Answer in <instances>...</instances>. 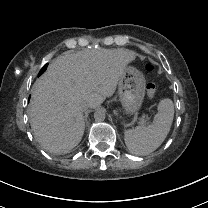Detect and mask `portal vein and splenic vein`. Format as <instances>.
I'll use <instances>...</instances> for the list:
<instances>
[{
	"label": "portal vein and splenic vein",
	"mask_w": 208,
	"mask_h": 208,
	"mask_svg": "<svg viewBox=\"0 0 208 208\" xmlns=\"http://www.w3.org/2000/svg\"><path fill=\"white\" fill-rule=\"evenodd\" d=\"M140 121H141L143 124H144V123H146V120H145V115H143V116H142V118H141V120H140Z\"/></svg>",
	"instance_id": "portal-vein-and-splenic-vein-1"
}]
</instances>
